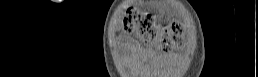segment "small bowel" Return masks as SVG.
Here are the masks:
<instances>
[{
	"label": "small bowel",
	"mask_w": 258,
	"mask_h": 77,
	"mask_svg": "<svg viewBox=\"0 0 258 77\" xmlns=\"http://www.w3.org/2000/svg\"><path fill=\"white\" fill-rule=\"evenodd\" d=\"M127 45H128V48L134 54V57L138 56L142 52L141 48L139 47L138 43L135 40H129Z\"/></svg>",
	"instance_id": "c3829d8e"
}]
</instances>
